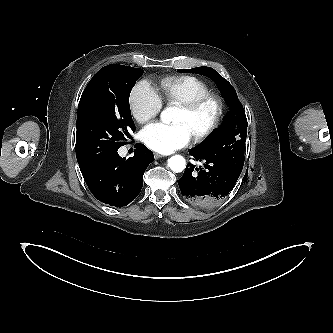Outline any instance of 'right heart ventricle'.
Segmentation results:
<instances>
[{"label": "right heart ventricle", "mask_w": 333, "mask_h": 333, "mask_svg": "<svg viewBox=\"0 0 333 333\" xmlns=\"http://www.w3.org/2000/svg\"><path fill=\"white\" fill-rule=\"evenodd\" d=\"M209 86L201 79L182 75L164 78L160 82V98L168 104L180 106L210 93Z\"/></svg>", "instance_id": "obj_1"}]
</instances>
